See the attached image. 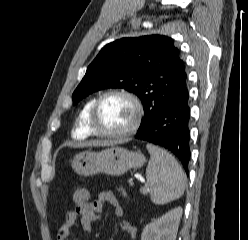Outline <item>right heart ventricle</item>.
I'll use <instances>...</instances> for the list:
<instances>
[{"label": "right heart ventricle", "instance_id": "right-heart-ventricle-1", "mask_svg": "<svg viewBox=\"0 0 248 240\" xmlns=\"http://www.w3.org/2000/svg\"><path fill=\"white\" fill-rule=\"evenodd\" d=\"M96 101V97L89 98L81 107L76 123L72 130V137L77 140H84L93 133L89 124L92 107Z\"/></svg>", "mask_w": 248, "mask_h": 240}]
</instances>
